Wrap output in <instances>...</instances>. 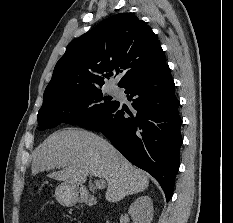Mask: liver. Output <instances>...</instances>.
<instances>
[{"mask_svg": "<svg viewBox=\"0 0 233 223\" xmlns=\"http://www.w3.org/2000/svg\"><path fill=\"white\" fill-rule=\"evenodd\" d=\"M51 169L48 177L75 185H84L92 175L103 177L107 181L105 199L111 203L144 191L149 185L147 173L127 161L107 139L79 127L55 131L36 147L32 175Z\"/></svg>", "mask_w": 233, "mask_h": 223, "instance_id": "6515ba94", "label": "liver"}]
</instances>
